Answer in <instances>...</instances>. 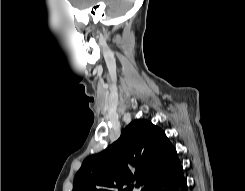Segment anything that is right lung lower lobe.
<instances>
[{"mask_svg": "<svg viewBox=\"0 0 245 191\" xmlns=\"http://www.w3.org/2000/svg\"><path fill=\"white\" fill-rule=\"evenodd\" d=\"M149 191H187L183 167L180 165L172 173L161 178Z\"/></svg>", "mask_w": 245, "mask_h": 191, "instance_id": "1", "label": "right lung lower lobe"}]
</instances>
